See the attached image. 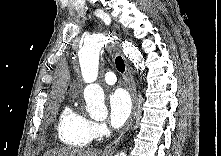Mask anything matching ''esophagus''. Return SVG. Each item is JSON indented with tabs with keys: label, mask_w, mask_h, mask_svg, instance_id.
Instances as JSON below:
<instances>
[{
	"label": "esophagus",
	"mask_w": 221,
	"mask_h": 156,
	"mask_svg": "<svg viewBox=\"0 0 221 156\" xmlns=\"http://www.w3.org/2000/svg\"><path fill=\"white\" fill-rule=\"evenodd\" d=\"M123 60H124V63H125V68H126V77H127V81H128V84H129V90H130V93H131V96H132V101H133L132 115H131V118H130V121H129L128 125L121 132V134L114 141H112L110 144H108L105 147V149L103 150V156H111L114 153V151L117 149L118 145L123 140L125 133L129 129V127L132 125V123L135 119V115H136V110H137L136 84H135V80H134L133 74L131 72L130 66L128 64V61L124 56H123Z\"/></svg>",
	"instance_id": "1"
}]
</instances>
